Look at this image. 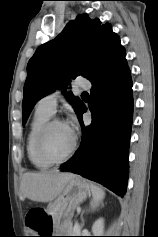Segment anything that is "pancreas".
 <instances>
[{"instance_id": "cf45deb5", "label": "pancreas", "mask_w": 158, "mask_h": 237, "mask_svg": "<svg viewBox=\"0 0 158 237\" xmlns=\"http://www.w3.org/2000/svg\"><path fill=\"white\" fill-rule=\"evenodd\" d=\"M80 228H75L71 224V218L63 219L57 229L58 232L68 233L67 235L77 236L80 233Z\"/></svg>"}]
</instances>
